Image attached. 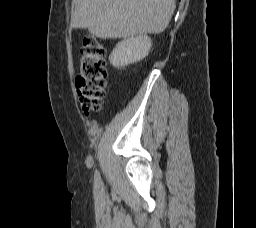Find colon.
<instances>
[{"label": "colon", "instance_id": "colon-1", "mask_svg": "<svg viewBox=\"0 0 256 228\" xmlns=\"http://www.w3.org/2000/svg\"><path fill=\"white\" fill-rule=\"evenodd\" d=\"M104 55L105 49L96 38L84 39L76 89L86 115L100 110L105 97L107 69Z\"/></svg>", "mask_w": 256, "mask_h": 228}]
</instances>
